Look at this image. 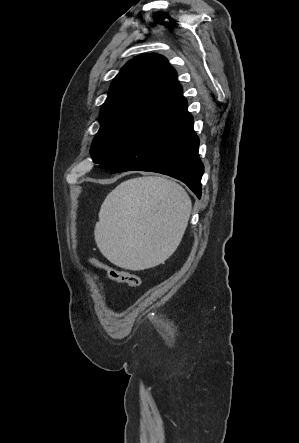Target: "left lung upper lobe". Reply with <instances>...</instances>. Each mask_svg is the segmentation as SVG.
I'll return each instance as SVG.
<instances>
[{"label": "left lung upper lobe", "instance_id": "1", "mask_svg": "<svg viewBox=\"0 0 299 443\" xmlns=\"http://www.w3.org/2000/svg\"><path fill=\"white\" fill-rule=\"evenodd\" d=\"M181 95L177 73L164 56L143 54L128 61L102 105L90 150L93 162L112 168Z\"/></svg>", "mask_w": 299, "mask_h": 443}]
</instances>
